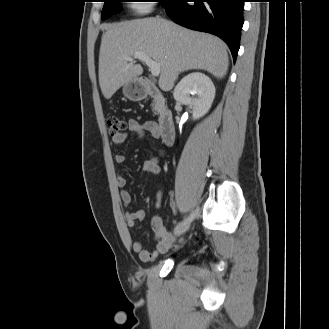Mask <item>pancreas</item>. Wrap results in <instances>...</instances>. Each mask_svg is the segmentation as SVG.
I'll return each instance as SVG.
<instances>
[{
    "label": "pancreas",
    "instance_id": "pancreas-1",
    "mask_svg": "<svg viewBox=\"0 0 329 329\" xmlns=\"http://www.w3.org/2000/svg\"><path fill=\"white\" fill-rule=\"evenodd\" d=\"M151 106H152L153 111H155V114H156V110H157V109H156V107H155V103H152Z\"/></svg>",
    "mask_w": 329,
    "mask_h": 329
}]
</instances>
